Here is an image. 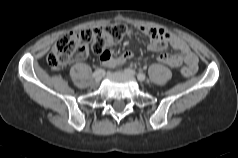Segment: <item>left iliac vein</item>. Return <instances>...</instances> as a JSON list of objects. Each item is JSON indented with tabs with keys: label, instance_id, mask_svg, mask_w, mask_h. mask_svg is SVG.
<instances>
[{
	"label": "left iliac vein",
	"instance_id": "1",
	"mask_svg": "<svg viewBox=\"0 0 238 158\" xmlns=\"http://www.w3.org/2000/svg\"><path fill=\"white\" fill-rule=\"evenodd\" d=\"M124 71H125L126 74H128V75H130L132 77H134L136 75L135 71L132 70V69L127 68Z\"/></svg>",
	"mask_w": 238,
	"mask_h": 158
}]
</instances>
